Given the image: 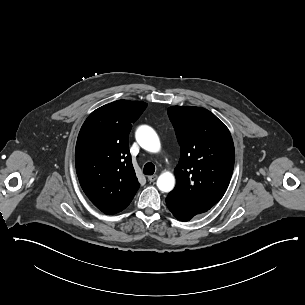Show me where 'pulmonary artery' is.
<instances>
[{
  "mask_svg": "<svg viewBox=\"0 0 305 305\" xmlns=\"http://www.w3.org/2000/svg\"><path fill=\"white\" fill-rule=\"evenodd\" d=\"M162 156H166V153H162Z\"/></svg>",
  "mask_w": 305,
  "mask_h": 305,
  "instance_id": "pulmonary-artery-1",
  "label": "pulmonary artery"
}]
</instances>
